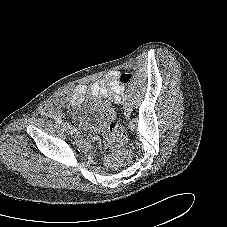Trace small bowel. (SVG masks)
Listing matches in <instances>:
<instances>
[{"label":"small bowel","instance_id":"c3829d8e","mask_svg":"<svg viewBox=\"0 0 227 227\" xmlns=\"http://www.w3.org/2000/svg\"><path fill=\"white\" fill-rule=\"evenodd\" d=\"M121 71H110L106 74L103 79L97 80L89 85L80 84L77 85L73 93L70 97V102L73 106L78 107L85 97L91 96L93 97L98 103L99 101L105 98H111L113 101L118 102L120 100L121 94L125 93V87L120 85L119 83V74ZM66 102V98L64 97H56L53 99L48 105H46L43 109V114L45 116L51 115H58V109L64 105ZM99 108V106H98ZM101 112H104L101 108H99ZM77 121L79 117L75 118ZM77 137L86 142L90 143L92 140L87 136H81L77 134ZM98 143L102 144L100 140L97 141ZM112 166H115L113 161H109Z\"/></svg>","mask_w":227,"mask_h":227}]
</instances>
